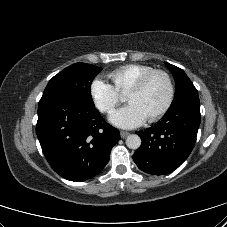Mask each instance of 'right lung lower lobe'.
<instances>
[{
	"instance_id": "right-lung-lower-lobe-1",
	"label": "right lung lower lobe",
	"mask_w": 227,
	"mask_h": 227,
	"mask_svg": "<svg viewBox=\"0 0 227 227\" xmlns=\"http://www.w3.org/2000/svg\"><path fill=\"white\" fill-rule=\"evenodd\" d=\"M36 133L53 170L76 182L99 174L120 139L94 105L65 93L41 98Z\"/></svg>"
}]
</instances>
